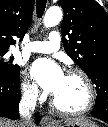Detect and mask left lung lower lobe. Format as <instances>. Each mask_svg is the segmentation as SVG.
Instances as JSON below:
<instances>
[{
	"label": "left lung lower lobe",
	"mask_w": 108,
	"mask_h": 127,
	"mask_svg": "<svg viewBox=\"0 0 108 127\" xmlns=\"http://www.w3.org/2000/svg\"><path fill=\"white\" fill-rule=\"evenodd\" d=\"M91 114L108 123V103L102 101L96 102Z\"/></svg>",
	"instance_id": "left-lung-lower-lobe-1"
}]
</instances>
